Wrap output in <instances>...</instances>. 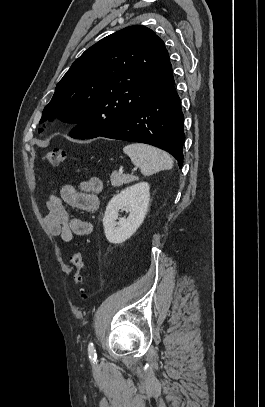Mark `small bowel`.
Wrapping results in <instances>:
<instances>
[{
	"mask_svg": "<svg viewBox=\"0 0 265 407\" xmlns=\"http://www.w3.org/2000/svg\"><path fill=\"white\" fill-rule=\"evenodd\" d=\"M102 187V181L98 177H90L77 186L71 183L62 185L59 195L53 193L46 203L48 213L43 217V224L48 233L60 236L66 244H70L74 236L91 234V223L75 216L68 207L95 212L99 207L98 194Z\"/></svg>",
	"mask_w": 265,
	"mask_h": 407,
	"instance_id": "obj_1",
	"label": "small bowel"
}]
</instances>
